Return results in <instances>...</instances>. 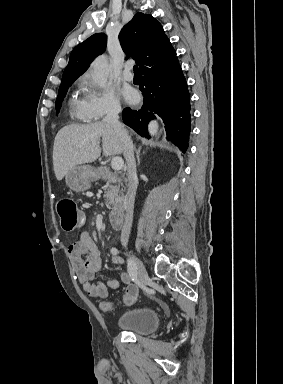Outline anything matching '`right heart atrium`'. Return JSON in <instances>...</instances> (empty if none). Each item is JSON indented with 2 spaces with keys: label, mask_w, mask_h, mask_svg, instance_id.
<instances>
[{
  "label": "right heart atrium",
  "mask_w": 283,
  "mask_h": 384,
  "mask_svg": "<svg viewBox=\"0 0 283 384\" xmlns=\"http://www.w3.org/2000/svg\"><path fill=\"white\" fill-rule=\"evenodd\" d=\"M81 87L84 92V120L100 126L104 120L115 117L122 110L119 97L110 86H100L86 74Z\"/></svg>",
  "instance_id": "right-heart-atrium-1"
}]
</instances>
